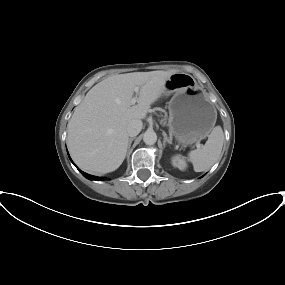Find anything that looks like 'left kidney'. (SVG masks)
Wrapping results in <instances>:
<instances>
[{"label":"left kidney","instance_id":"obj_1","mask_svg":"<svg viewBox=\"0 0 285 285\" xmlns=\"http://www.w3.org/2000/svg\"><path fill=\"white\" fill-rule=\"evenodd\" d=\"M172 164L180 170H185L187 167L185 159L181 156H174L172 158Z\"/></svg>","mask_w":285,"mask_h":285}]
</instances>
